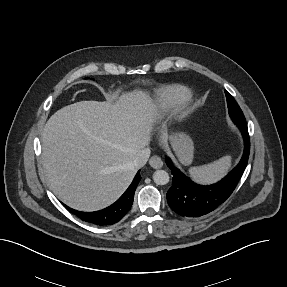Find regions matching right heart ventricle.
Segmentation results:
<instances>
[{"label":"right heart ventricle","instance_id":"right-heart-ventricle-1","mask_svg":"<svg viewBox=\"0 0 287 287\" xmlns=\"http://www.w3.org/2000/svg\"><path fill=\"white\" fill-rule=\"evenodd\" d=\"M188 93V90L184 87H167L159 94L160 105L164 110H168L173 105L184 100Z\"/></svg>","mask_w":287,"mask_h":287}]
</instances>
